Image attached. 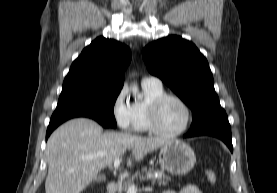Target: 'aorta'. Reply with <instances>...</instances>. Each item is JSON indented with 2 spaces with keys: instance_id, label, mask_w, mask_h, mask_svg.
Listing matches in <instances>:
<instances>
[{
  "instance_id": "1",
  "label": "aorta",
  "mask_w": 277,
  "mask_h": 193,
  "mask_svg": "<svg viewBox=\"0 0 277 193\" xmlns=\"http://www.w3.org/2000/svg\"><path fill=\"white\" fill-rule=\"evenodd\" d=\"M132 93H133L134 96L139 95V90H138L137 86L132 87Z\"/></svg>"
}]
</instances>
